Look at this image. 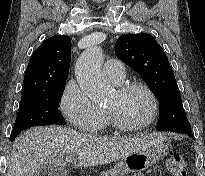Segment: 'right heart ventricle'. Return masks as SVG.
I'll return each mask as SVG.
<instances>
[{"mask_svg": "<svg viewBox=\"0 0 205 176\" xmlns=\"http://www.w3.org/2000/svg\"><path fill=\"white\" fill-rule=\"evenodd\" d=\"M113 84H114V83H113ZM115 85H120V84H115ZM108 120H109V116H108L107 113H105V119H104L102 125H104Z\"/></svg>", "mask_w": 205, "mask_h": 176, "instance_id": "obj_1", "label": "right heart ventricle"}]
</instances>
